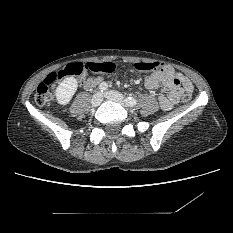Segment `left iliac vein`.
Segmentation results:
<instances>
[{"instance_id": "obj_1", "label": "left iliac vein", "mask_w": 233, "mask_h": 233, "mask_svg": "<svg viewBox=\"0 0 233 233\" xmlns=\"http://www.w3.org/2000/svg\"><path fill=\"white\" fill-rule=\"evenodd\" d=\"M105 98H107L108 100H111V101H115V102H118V103H121L123 104L125 99H124V96L117 92V91H107L105 92L104 94Z\"/></svg>"}]
</instances>
